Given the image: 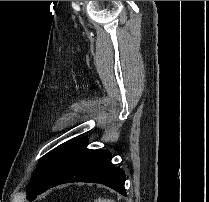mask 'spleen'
<instances>
[{"mask_svg":"<svg viewBox=\"0 0 209 202\" xmlns=\"http://www.w3.org/2000/svg\"><path fill=\"white\" fill-rule=\"evenodd\" d=\"M94 202H114V201L111 199L98 198Z\"/></svg>","mask_w":209,"mask_h":202,"instance_id":"3e777b00","label":"spleen"}]
</instances>
